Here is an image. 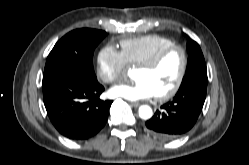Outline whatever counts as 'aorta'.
Segmentation results:
<instances>
[{"mask_svg":"<svg viewBox=\"0 0 249 165\" xmlns=\"http://www.w3.org/2000/svg\"><path fill=\"white\" fill-rule=\"evenodd\" d=\"M153 115L152 109L147 105H142L139 107V116L142 119H149Z\"/></svg>","mask_w":249,"mask_h":165,"instance_id":"1","label":"aorta"}]
</instances>
